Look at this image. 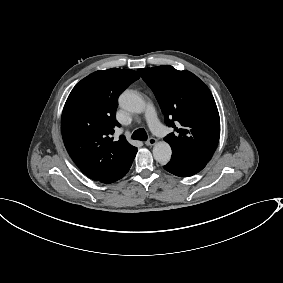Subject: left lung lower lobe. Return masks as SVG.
<instances>
[{"label": "left lung lower lobe", "mask_w": 283, "mask_h": 283, "mask_svg": "<svg viewBox=\"0 0 283 283\" xmlns=\"http://www.w3.org/2000/svg\"><path fill=\"white\" fill-rule=\"evenodd\" d=\"M206 164L205 162L173 153L170 162L164 166V169L176 176L188 177L201 171Z\"/></svg>", "instance_id": "obj_1"}]
</instances>
